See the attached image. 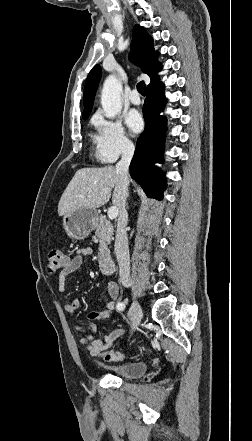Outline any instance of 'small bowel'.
Here are the masks:
<instances>
[{"label":"small bowel","mask_w":252,"mask_h":441,"mask_svg":"<svg viewBox=\"0 0 252 441\" xmlns=\"http://www.w3.org/2000/svg\"><path fill=\"white\" fill-rule=\"evenodd\" d=\"M92 253L90 248H81L76 255L69 261L68 265L61 271L59 275V291L64 293L67 291V277L78 270L82 265L85 256ZM106 298L104 300V305L111 308L112 310L117 307L119 288L115 282H109L105 289ZM80 308V302L77 298L73 299L70 303L65 305V310L73 315ZM96 327L92 326L90 328V333L80 339V344L94 357H101L102 354L112 347L116 341L121 338L124 334L123 329H116L100 338H95Z\"/></svg>","instance_id":"obj_1"}]
</instances>
